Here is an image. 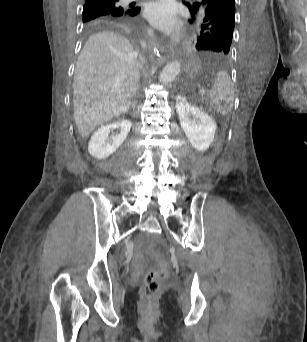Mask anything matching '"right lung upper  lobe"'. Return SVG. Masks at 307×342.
Here are the masks:
<instances>
[{
  "mask_svg": "<svg viewBox=\"0 0 307 342\" xmlns=\"http://www.w3.org/2000/svg\"><path fill=\"white\" fill-rule=\"evenodd\" d=\"M105 10L106 14L83 22L84 32L101 29L133 31L137 25L139 7L127 6L121 0H85L83 10Z\"/></svg>",
  "mask_w": 307,
  "mask_h": 342,
  "instance_id": "right-lung-upper-lobe-1",
  "label": "right lung upper lobe"
}]
</instances>
